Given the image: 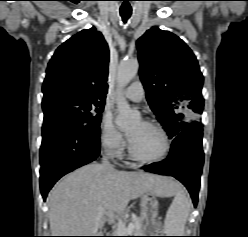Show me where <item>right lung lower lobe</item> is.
Wrapping results in <instances>:
<instances>
[{"mask_svg":"<svg viewBox=\"0 0 248 237\" xmlns=\"http://www.w3.org/2000/svg\"><path fill=\"white\" fill-rule=\"evenodd\" d=\"M100 128L43 123L40 148V188L44 201L65 174L94 161L100 154Z\"/></svg>","mask_w":248,"mask_h":237,"instance_id":"obj_1","label":"right lung lower lobe"}]
</instances>
